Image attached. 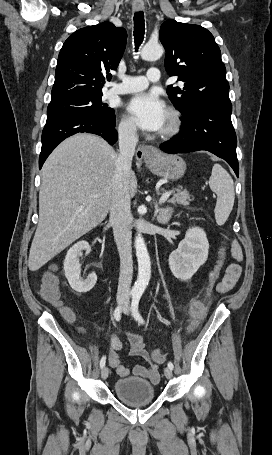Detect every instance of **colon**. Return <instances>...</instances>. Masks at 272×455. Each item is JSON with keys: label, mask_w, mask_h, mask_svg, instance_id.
<instances>
[{"label": "colon", "mask_w": 272, "mask_h": 455, "mask_svg": "<svg viewBox=\"0 0 272 455\" xmlns=\"http://www.w3.org/2000/svg\"><path fill=\"white\" fill-rule=\"evenodd\" d=\"M227 257V248L225 244H222L218 251V256L216 262L209 272L208 281L205 289L204 298L197 300L192 303L190 307V317L191 321L187 328V334L191 335L198 328L200 322L205 317L207 311V303L210 297V294L218 281L220 274L223 270L225 260ZM41 295L46 301L58 304L60 298V292L58 288V283L53 274H46L43 278V284L41 289ZM69 315L68 311H65ZM152 360L156 363H163L166 360V354L161 350H154L151 353Z\"/></svg>", "instance_id": "5ec220e1"}]
</instances>
